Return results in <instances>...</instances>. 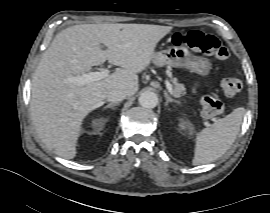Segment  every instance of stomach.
I'll return each mask as SVG.
<instances>
[{"label": "stomach", "instance_id": "stomach-1", "mask_svg": "<svg viewBox=\"0 0 270 213\" xmlns=\"http://www.w3.org/2000/svg\"><path fill=\"white\" fill-rule=\"evenodd\" d=\"M152 61L158 66L182 67L203 77L207 76L211 69L208 59L193 55L183 45H172L166 50L154 53Z\"/></svg>", "mask_w": 270, "mask_h": 213}]
</instances>
